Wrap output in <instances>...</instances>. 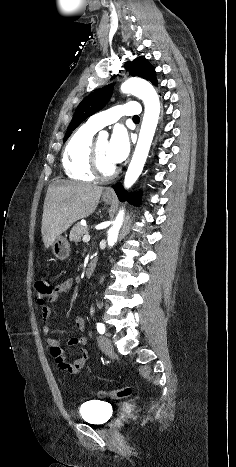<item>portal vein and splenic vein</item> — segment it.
Masks as SVG:
<instances>
[{"label":"portal vein and splenic vein","mask_w":236,"mask_h":467,"mask_svg":"<svg viewBox=\"0 0 236 467\" xmlns=\"http://www.w3.org/2000/svg\"><path fill=\"white\" fill-rule=\"evenodd\" d=\"M83 241H84V242L90 241V235H89V234L84 235V236H83Z\"/></svg>","instance_id":"portal-vein-and-splenic-vein-1"}]
</instances>
